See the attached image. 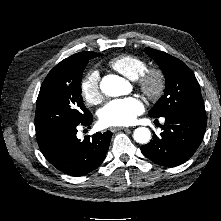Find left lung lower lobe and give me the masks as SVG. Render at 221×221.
<instances>
[{"instance_id": "0a47b994", "label": "left lung lower lobe", "mask_w": 221, "mask_h": 221, "mask_svg": "<svg viewBox=\"0 0 221 221\" xmlns=\"http://www.w3.org/2000/svg\"><path fill=\"white\" fill-rule=\"evenodd\" d=\"M163 132L141 146L142 153L151 161L174 167L187 161L202 142L206 130V114L180 111L164 116Z\"/></svg>"}]
</instances>
